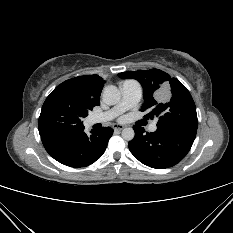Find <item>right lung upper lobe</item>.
<instances>
[{
    "instance_id": "1",
    "label": "right lung upper lobe",
    "mask_w": 233,
    "mask_h": 233,
    "mask_svg": "<svg viewBox=\"0 0 233 233\" xmlns=\"http://www.w3.org/2000/svg\"><path fill=\"white\" fill-rule=\"evenodd\" d=\"M71 89L83 94L88 98L99 101L100 94L105 81L98 75L78 76L63 82Z\"/></svg>"
}]
</instances>
